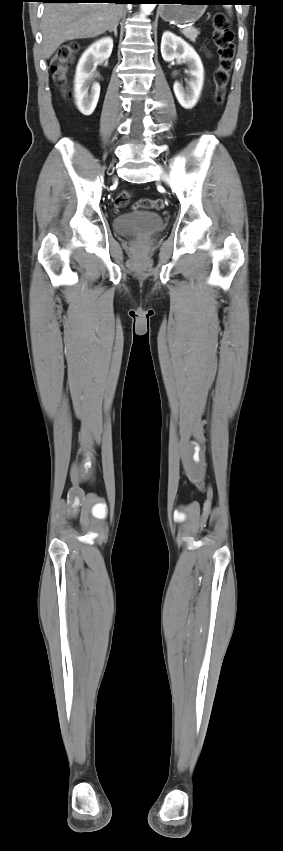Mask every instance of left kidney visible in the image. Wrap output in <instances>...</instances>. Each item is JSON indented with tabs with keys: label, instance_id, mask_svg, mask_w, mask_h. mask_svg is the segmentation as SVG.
I'll use <instances>...</instances> for the list:
<instances>
[{
	"label": "left kidney",
	"instance_id": "1",
	"mask_svg": "<svg viewBox=\"0 0 283 851\" xmlns=\"http://www.w3.org/2000/svg\"><path fill=\"white\" fill-rule=\"evenodd\" d=\"M161 54L166 62L177 59L188 67L187 86L184 88L181 83L175 82L173 90L180 105L185 109H192L200 97L204 83V68L199 55L186 41L169 31L162 35Z\"/></svg>",
	"mask_w": 283,
	"mask_h": 851
}]
</instances>
